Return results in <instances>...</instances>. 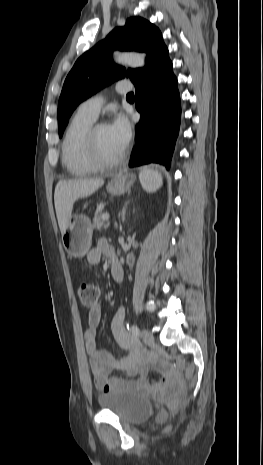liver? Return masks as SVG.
<instances>
[{
  "mask_svg": "<svg viewBox=\"0 0 263 465\" xmlns=\"http://www.w3.org/2000/svg\"><path fill=\"white\" fill-rule=\"evenodd\" d=\"M104 184L102 178L61 180L57 183L54 193L55 210L61 233L71 216L73 205L79 198L92 195Z\"/></svg>",
  "mask_w": 263,
  "mask_h": 465,
  "instance_id": "obj_1",
  "label": "liver"
}]
</instances>
